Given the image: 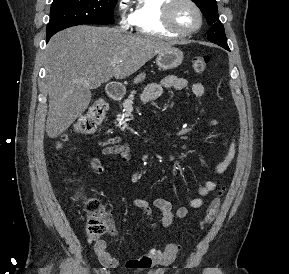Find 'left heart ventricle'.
<instances>
[{
	"instance_id": "left-heart-ventricle-1",
	"label": "left heart ventricle",
	"mask_w": 289,
	"mask_h": 274,
	"mask_svg": "<svg viewBox=\"0 0 289 274\" xmlns=\"http://www.w3.org/2000/svg\"><path fill=\"white\" fill-rule=\"evenodd\" d=\"M173 21L180 29L188 30L198 23V16L194 8L187 2H179L173 9Z\"/></svg>"
}]
</instances>
